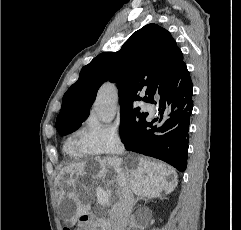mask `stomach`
Returning <instances> with one entry per match:
<instances>
[{
    "instance_id": "obj_1",
    "label": "stomach",
    "mask_w": 241,
    "mask_h": 230,
    "mask_svg": "<svg viewBox=\"0 0 241 230\" xmlns=\"http://www.w3.org/2000/svg\"><path fill=\"white\" fill-rule=\"evenodd\" d=\"M77 230H89V227L84 223H79Z\"/></svg>"
}]
</instances>
